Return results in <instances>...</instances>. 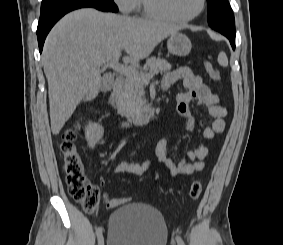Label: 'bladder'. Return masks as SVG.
I'll return each instance as SVG.
<instances>
[{
	"label": "bladder",
	"mask_w": 283,
	"mask_h": 245,
	"mask_svg": "<svg viewBox=\"0 0 283 245\" xmlns=\"http://www.w3.org/2000/svg\"><path fill=\"white\" fill-rule=\"evenodd\" d=\"M167 239L164 217L151 205L125 203L109 217L107 245H166Z\"/></svg>",
	"instance_id": "bladder-1"
}]
</instances>
